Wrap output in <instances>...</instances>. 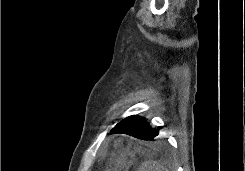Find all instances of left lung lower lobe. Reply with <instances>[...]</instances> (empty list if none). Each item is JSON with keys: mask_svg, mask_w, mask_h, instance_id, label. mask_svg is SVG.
<instances>
[{"mask_svg": "<svg viewBox=\"0 0 245 171\" xmlns=\"http://www.w3.org/2000/svg\"><path fill=\"white\" fill-rule=\"evenodd\" d=\"M115 133L127 134L138 139L154 141V138L159 133V127L151 128L144 117L132 115L123 119L110 131V134Z\"/></svg>", "mask_w": 245, "mask_h": 171, "instance_id": "obj_1", "label": "left lung lower lobe"}]
</instances>
